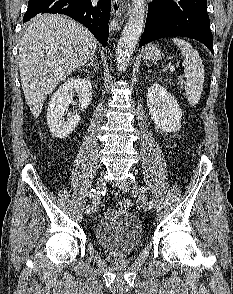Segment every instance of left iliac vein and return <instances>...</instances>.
Wrapping results in <instances>:
<instances>
[{
  "label": "left iliac vein",
  "mask_w": 233,
  "mask_h": 294,
  "mask_svg": "<svg viewBox=\"0 0 233 294\" xmlns=\"http://www.w3.org/2000/svg\"><path fill=\"white\" fill-rule=\"evenodd\" d=\"M119 189L122 191H129L130 186L126 182H120L118 185ZM133 191L136 194V197L139 198V205L141 209H149L146 205V197H143V194L136 181L132 182Z\"/></svg>",
  "instance_id": "1"
}]
</instances>
